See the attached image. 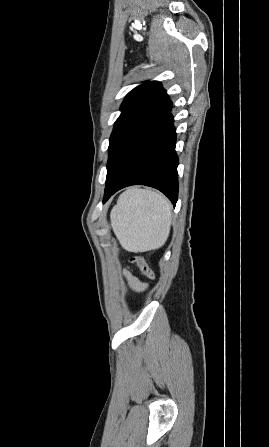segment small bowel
Segmentation results:
<instances>
[{
	"label": "small bowel",
	"instance_id": "1",
	"mask_svg": "<svg viewBox=\"0 0 269 447\" xmlns=\"http://www.w3.org/2000/svg\"><path fill=\"white\" fill-rule=\"evenodd\" d=\"M124 275L129 288L136 293L144 292L147 289V284L142 282L138 277H136L132 270L126 269Z\"/></svg>",
	"mask_w": 269,
	"mask_h": 447
}]
</instances>
